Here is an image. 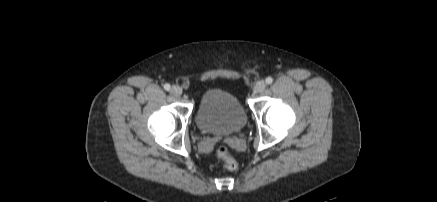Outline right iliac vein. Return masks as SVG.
<instances>
[{
    "mask_svg": "<svg viewBox=\"0 0 437 202\" xmlns=\"http://www.w3.org/2000/svg\"><path fill=\"white\" fill-rule=\"evenodd\" d=\"M171 93L174 95V96H176V97H179V96H181L182 95V88L181 87H179V86H172V88H171Z\"/></svg>",
    "mask_w": 437,
    "mask_h": 202,
    "instance_id": "63e3f726",
    "label": "right iliac vein"
}]
</instances>
